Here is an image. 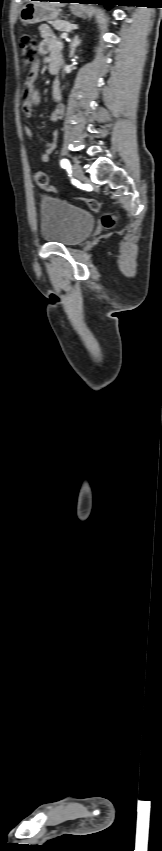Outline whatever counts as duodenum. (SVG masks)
Instances as JSON below:
<instances>
[{"mask_svg": "<svg viewBox=\"0 0 162 851\" xmlns=\"http://www.w3.org/2000/svg\"><path fill=\"white\" fill-rule=\"evenodd\" d=\"M59 67L60 63L57 60L52 59L49 61V70L52 74H56L59 70Z\"/></svg>", "mask_w": 162, "mask_h": 851, "instance_id": "obj_1", "label": "duodenum"}]
</instances>
